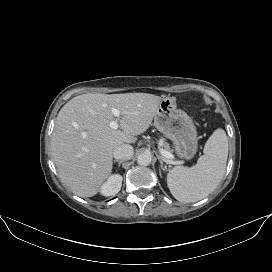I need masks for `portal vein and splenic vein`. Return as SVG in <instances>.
<instances>
[{
    "label": "portal vein and splenic vein",
    "mask_w": 272,
    "mask_h": 272,
    "mask_svg": "<svg viewBox=\"0 0 272 272\" xmlns=\"http://www.w3.org/2000/svg\"><path fill=\"white\" fill-rule=\"evenodd\" d=\"M112 113H113L115 118L120 117V111L118 109L113 108ZM109 125H110V127L112 129H118V127H119V124H118L117 120L111 121ZM160 153H161L162 156H164L167 159H172L173 158V155L171 153H169L168 151H165L164 149H160Z\"/></svg>",
    "instance_id": "portal-vein-and-splenic-vein-1"
}]
</instances>
